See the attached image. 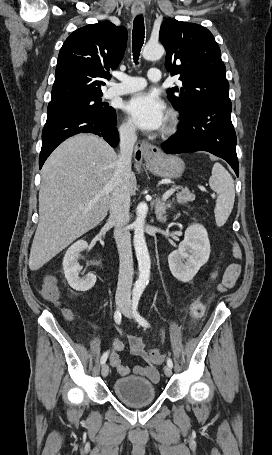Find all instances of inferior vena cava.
<instances>
[{
    "label": "inferior vena cava",
    "mask_w": 272,
    "mask_h": 455,
    "mask_svg": "<svg viewBox=\"0 0 272 455\" xmlns=\"http://www.w3.org/2000/svg\"><path fill=\"white\" fill-rule=\"evenodd\" d=\"M136 140V128L134 125L120 128V154L116 171L112 178L109 221L114 225V237L120 259L116 296L122 298H130L133 280L131 235L126 229V225L130 219L129 177L131 175V159Z\"/></svg>",
    "instance_id": "602c4592"
}]
</instances>
